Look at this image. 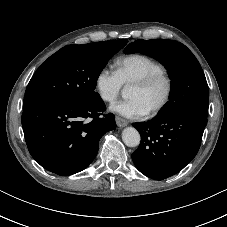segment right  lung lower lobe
Returning a JSON list of instances; mask_svg holds the SVG:
<instances>
[{"instance_id": "98d812e1", "label": "right lung lower lobe", "mask_w": 227, "mask_h": 227, "mask_svg": "<svg viewBox=\"0 0 227 227\" xmlns=\"http://www.w3.org/2000/svg\"><path fill=\"white\" fill-rule=\"evenodd\" d=\"M100 97L88 102L51 101L24 109L22 127L32 157L61 176L85 169L98 152L100 138L116 128Z\"/></svg>"}]
</instances>
